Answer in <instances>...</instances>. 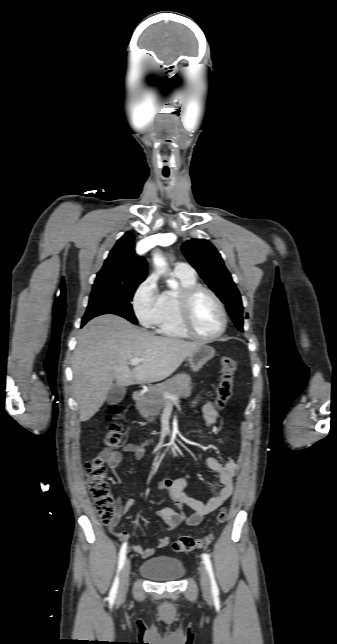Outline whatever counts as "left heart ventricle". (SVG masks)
Returning <instances> with one entry per match:
<instances>
[{"instance_id": "left-heart-ventricle-1", "label": "left heart ventricle", "mask_w": 337, "mask_h": 644, "mask_svg": "<svg viewBox=\"0 0 337 644\" xmlns=\"http://www.w3.org/2000/svg\"><path fill=\"white\" fill-rule=\"evenodd\" d=\"M192 321L195 330L202 336L209 337L219 331L222 324L221 312L209 294L201 293L196 297Z\"/></svg>"}]
</instances>
